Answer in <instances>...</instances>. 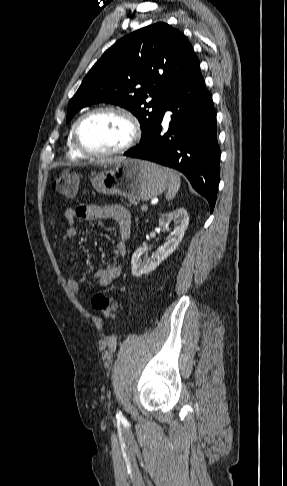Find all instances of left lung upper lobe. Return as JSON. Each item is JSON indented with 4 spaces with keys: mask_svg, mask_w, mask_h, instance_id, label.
Wrapping results in <instances>:
<instances>
[{
    "mask_svg": "<svg viewBox=\"0 0 287 486\" xmlns=\"http://www.w3.org/2000/svg\"><path fill=\"white\" fill-rule=\"evenodd\" d=\"M198 63L179 30L163 22L141 28L118 40L91 68L69 102L67 123L83 107L112 103L138 118L142 139L159 119L169 89Z\"/></svg>",
    "mask_w": 287,
    "mask_h": 486,
    "instance_id": "1",
    "label": "left lung upper lobe"
}]
</instances>
